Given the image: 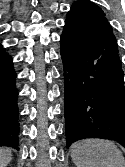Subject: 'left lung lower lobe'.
<instances>
[{
    "label": "left lung lower lobe",
    "instance_id": "obj_1",
    "mask_svg": "<svg viewBox=\"0 0 125 167\" xmlns=\"http://www.w3.org/2000/svg\"><path fill=\"white\" fill-rule=\"evenodd\" d=\"M65 71L66 146L80 139L113 140L125 147L124 72L106 18L66 20L60 38Z\"/></svg>",
    "mask_w": 125,
    "mask_h": 167
}]
</instances>
